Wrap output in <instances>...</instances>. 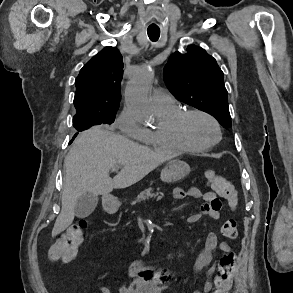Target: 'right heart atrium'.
I'll return each mask as SVG.
<instances>
[{
    "label": "right heart atrium",
    "mask_w": 293,
    "mask_h": 293,
    "mask_svg": "<svg viewBox=\"0 0 293 293\" xmlns=\"http://www.w3.org/2000/svg\"><path fill=\"white\" fill-rule=\"evenodd\" d=\"M116 127L125 135L137 140H144L149 130L143 127L131 114L128 108H124L115 120Z\"/></svg>",
    "instance_id": "1"
}]
</instances>
